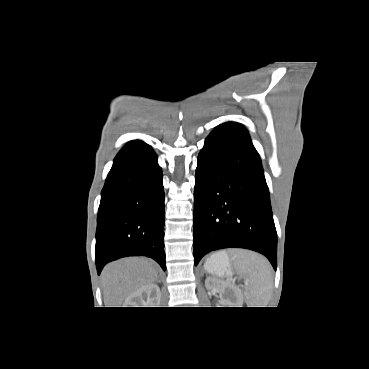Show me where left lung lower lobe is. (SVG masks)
I'll list each match as a JSON object with an SVG mask.
<instances>
[{"label":"left lung lower lobe","instance_id":"obj_1","mask_svg":"<svg viewBox=\"0 0 369 369\" xmlns=\"http://www.w3.org/2000/svg\"><path fill=\"white\" fill-rule=\"evenodd\" d=\"M195 265L207 253L238 247L277 268V233L258 152L243 125L226 122L206 138L194 188Z\"/></svg>","mask_w":369,"mask_h":369}]
</instances>
